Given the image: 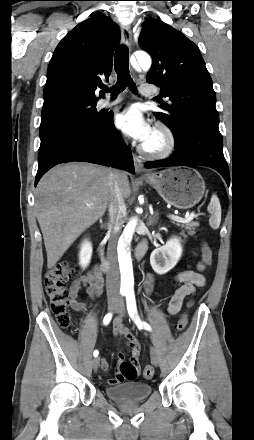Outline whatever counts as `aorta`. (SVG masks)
<instances>
[{
  "instance_id": "1",
  "label": "aorta",
  "mask_w": 254,
  "mask_h": 440,
  "mask_svg": "<svg viewBox=\"0 0 254 440\" xmlns=\"http://www.w3.org/2000/svg\"><path fill=\"white\" fill-rule=\"evenodd\" d=\"M136 60L139 66L144 70H148L151 67V58L147 53L137 54ZM135 227L136 221L131 220L126 225L118 241V262L121 273V289L123 290H133L134 286L130 243L135 232Z\"/></svg>"
}]
</instances>
